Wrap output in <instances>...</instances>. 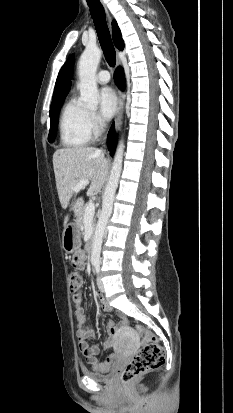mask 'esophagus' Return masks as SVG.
I'll return each mask as SVG.
<instances>
[{
  "instance_id": "esophagus-1",
  "label": "esophagus",
  "mask_w": 233,
  "mask_h": 413,
  "mask_svg": "<svg viewBox=\"0 0 233 413\" xmlns=\"http://www.w3.org/2000/svg\"><path fill=\"white\" fill-rule=\"evenodd\" d=\"M102 5L104 6L106 15H107V20H108V24L109 27L111 26V17L109 15L108 9L104 3V0H100ZM116 65L117 67L121 66V60L119 59V57H117L116 60ZM123 107H124V93L118 89V108H117V114H116V118H115V129L117 130L122 122V117H123Z\"/></svg>"
}]
</instances>
